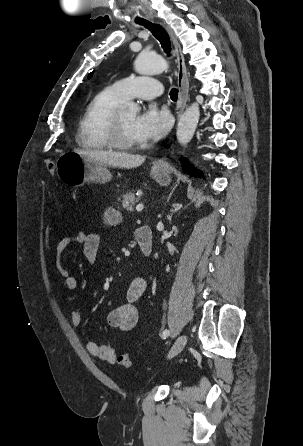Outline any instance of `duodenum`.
Here are the masks:
<instances>
[{"label":"duodenum","instance_id":"duodenum-1","mask_svg":"<svg viewBox=\"0 0 303 446\" xmlns=\"http://www.w3.org/2000/svg\"><path fill=\"white\" fill-rule=\"evenodd\" d=\"M136 240L145 257L151 255L153 250V235L149 227H141L136 232Z\"/></svg>","mask_w":303,"mask_h":446}]
</instances>
